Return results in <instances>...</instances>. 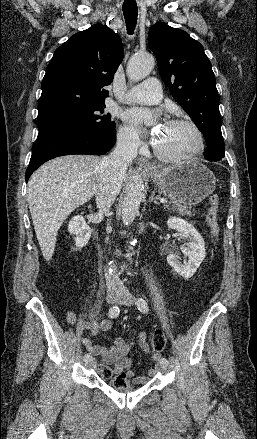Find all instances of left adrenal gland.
Listing matches in <instances>:
<instances>
[{
    "mask_svg": "<svg viewBox=\"0 0 257 439\" xmlns=\"http://www.w3.org/2000/svg\"><path fill=\"white\" fill-rule=\"evenodd\" d=\"M155 192H156V190H154L153 192H152V194H151V196H150V198H149V202H154L155 204H160L157 200H156V198H155Z\"/></svg>",
    "mask_w": 257,
    "mask_h": 439,
    "instance_id": "1",
    "label": "left adrenal gland"
}]
</instances>
